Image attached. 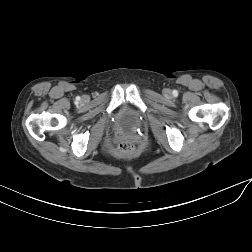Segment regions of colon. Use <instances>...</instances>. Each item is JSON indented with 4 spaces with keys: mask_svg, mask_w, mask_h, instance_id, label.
<instances>
[{
    "mask_svg": "<svg viewBox=\"0 0 252 252\" xmlns=\"http://www.w3.org/2000/svg\"><path fill=\"white\" fill-rule=\"evenodd\" d=\"M116 151L121 156H133L136 152V145L129 139H123L117 144Z\"/></svg>",
    "mask_w": 252,
    "mask_h": 252,
    "instance_id": "5ec220e1",
    "label": "colon"
}]
</instances>
